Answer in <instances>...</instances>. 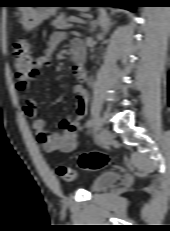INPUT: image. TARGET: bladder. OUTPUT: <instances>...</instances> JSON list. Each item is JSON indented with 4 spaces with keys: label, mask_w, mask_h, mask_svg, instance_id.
Masks as SVG:
<instances>
[{
    "label": "bladder",
    "mask_w": 170,
    "mask_h": 231,
    "mask_svg": "<svg viewBox=\"0 0 170 231\" xmlns=\"http://www.w3.org/2000/svg\"><path fill=\"white\" fill-rule=\"evenodd\" d=\"M119 179V174L115 171H108L95 177L91 183L92 192H100L111 187Z\"/></svg>",
    "instance_id": "1"
}]
</instances>
